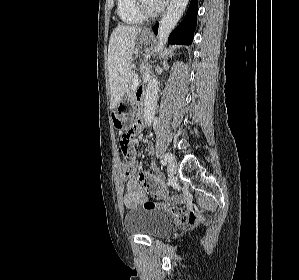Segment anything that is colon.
I'll list each match as a JSON object with an SVG mask.
<instances>
[{
  "label": "colon",
  "instance_id": "5ec220e1",
  "mask_svg": "<svg viewBox=\"0 0 299 280\" xmlns=\"http://www.w3.org/2000/svg\"><path fill=\"white\" fill-rule=\"evenodd\" d=\"M134 136L133 129L129 128L119 135V144L122 154L124 155V163L122 165V178H129L136 169V161L132 155L131 142ZM144 209H160L167 211L172 215L179 224H195L202 219V215L196 212H189L184 208L171 206L167 203H154L147 201L143 205Z\"/></svg>",
  "mask_w": 299,
  "mask_h": 280
}]
</instances>
